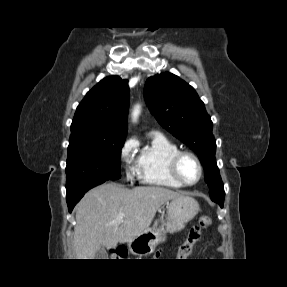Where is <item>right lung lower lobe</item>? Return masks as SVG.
<instances>
[{
  "mask_svg": "<svg viewBox=\"0 0 287 287\" xmlns=\"http://www.w3.org/2000/svg\"><path fill=\"white\" fill-rule=\"evenodd\" d=\"M105 181H92L87 182L79 187L67 192V205L68 210L71 212L76 205V203L83 197V195L91 188L104 183Z\"/></svg>",
  "mask_w": 287,
  "mask_h": 287,
  "instance_id": "98d812e1",
  "label": "right lung lower lobe"
}]
</instances>
